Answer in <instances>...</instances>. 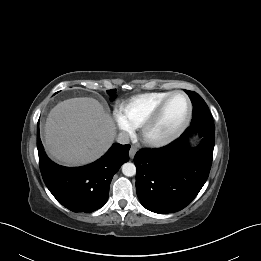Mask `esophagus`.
Instances as JSON below:
<instances>
[{
	"mask_svg": "<svg viewBox=\"0 0 261 261\" xmlns=\"http://www.w3.org/2000/svg\"><path fill=\"white\" fill-rule=\"evenodd\" d=\"M137 149L134 146H131L130 150H129V156L130 158H133L136 154Z\"/></svg>",
	"mask_w": 261,
	"mask_h": 261,
	"instance_id": "obj_1",
	"label": "esophagus"
}]
</instances>
